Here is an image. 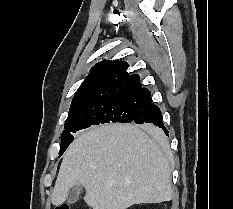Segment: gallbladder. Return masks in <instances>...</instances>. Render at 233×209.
Wrapping results in <instances>:
<instances>
[{"label":"gallbladder","instance_id":"gallbladder-1","mask_svg":"<svg viewBox=\"0 0 233 209\" xmlns=\"http://www.w3.org/2000/svg\"><path fill=\"white\" fill-rule=\"evenodd\" d=\"M81 192H82L81 185L78 184V185L73 186L68 192L67 202L69 204L75 203Z\"/></svg>","mask_w":233,"mask_h":209}]
</instances>
